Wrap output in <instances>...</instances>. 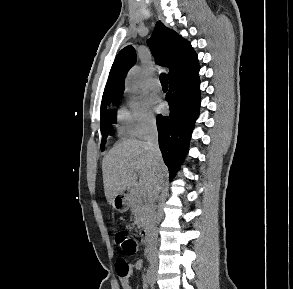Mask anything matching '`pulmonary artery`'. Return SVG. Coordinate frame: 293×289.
<instances>
[{
	"label": "pulmonary artery",
	"mask_w": 293,
	"mask_h": 289,
	"mask_svg": "<svg viewBox=\"0 0 293 289\" xmlns=\"http://www.w3.org/2000/svg\"><path fill=\"white\" fill-rule=\"evenodd\" d=\"M150 88L153 91L160 92L162 90V85H161L159 79H157V78L152 79L150 82Z\"/></svg>",
	"instance_id": "pulmonary-artery-1"
}]
</instances>
